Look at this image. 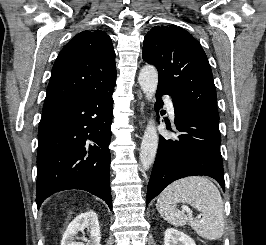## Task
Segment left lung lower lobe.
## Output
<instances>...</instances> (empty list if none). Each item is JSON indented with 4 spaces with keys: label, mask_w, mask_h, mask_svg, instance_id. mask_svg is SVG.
Wrapping results in <instances>:
<instances>
[{
    "label": "left lung lower lobe",
    "mask_w": 266,
    "mask_h": 245,
    "mask_svg": "<svg viewBox=\"0 0 266 245\" xmlns=\"http://www.w3.org/2000/svg\"><path fill=\"white\" fill-rule=\"evenodd\" d=\"M163 94L168 92L158 88L155 105L157 110L163 104ZM172 101L175 123L182 134L178 135L176 140L160 136L148 184L146 205L167 185L187 176L212 177L225 191L219 119L173 99Z\"/></svg>",
    "instance_id": "obj_1"
}]
</instances>
